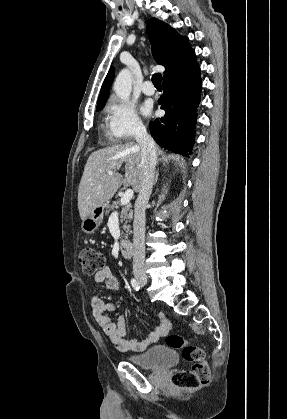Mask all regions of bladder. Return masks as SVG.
<instances>
[{"label":"bladder","instance_id":"1","mask_svg":"<svg viewBox=\"0 0 287 419\" xmlns=\"http://www.w3.org/2000/svg\"><path fill=\"white\" fill-rule=\"evenodd\" d=\"M130 362L144 369L166 370L177 363L178 358L169 346L151 347L143 353L132 355Z\"/></svg>","mask_w":287,"mask_h":419}]
</instances>
